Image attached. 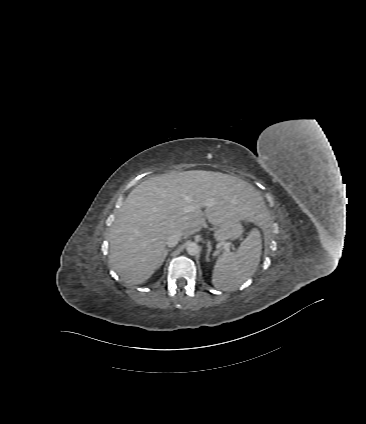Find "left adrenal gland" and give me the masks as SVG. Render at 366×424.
<instances>
[{"mask_svg":"<svg viewBox=\"0 0 366 424\" xmlns=\"http://www.w3.org/2000/svg\"><path fill=\"white\" fill-rule=\"evenodd\" d=\"M207 247H208V249H207V254H206V260L209 261V255H210V252L212 251L210 242H208Z\"/></svg>","mask_w":366,"mask_h":424,"instance_id":"obj_1","label":"left adrenal gland"}]
</instances>
